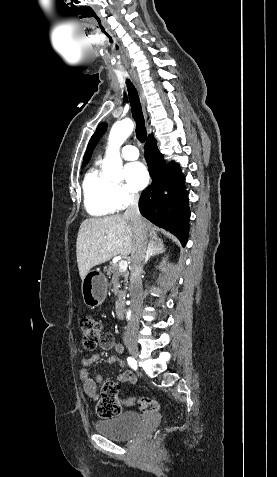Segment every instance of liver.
<instances>
[{"instance_id":"6515ba94","label":"liver","mask_w":277,"mask_h":477,"mask_svg":"<svg viewBox=\"0 0 277 477\" xmlns=\"http://www.w3.org/2000/svg\"><path fill=\"white\" fill-rule=\"evenodd\" d=\"M150 237L161 242L151 223L144 221ZM134 244L131 221L124 214L84 220L79 228L76 256L81 279L93 268L116 255L128 256Z\"/></svg>"}]
</instances>
